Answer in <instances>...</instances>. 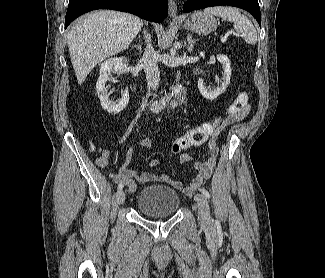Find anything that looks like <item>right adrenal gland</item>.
Here are the masks:
<instances>
[{"label": "right adrenal gland", "instance_id": "obj_1", "mask_svg": "<svg viewBox=\"0 0 325 278\" xmlns=\"http://www.w3.org/2000/svg\"><path fill=\"white\" fill-rule=\"evenodd\" d=\"M133 47L136 48L139 51V53H141L143 51L141 43L134 45Z\"/></svg>", "mask_w": 325, "mask_h": 278}]
</instances>
